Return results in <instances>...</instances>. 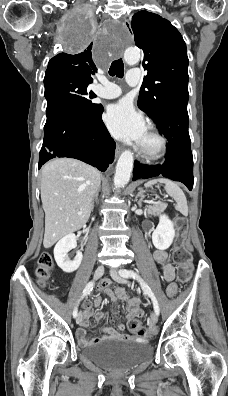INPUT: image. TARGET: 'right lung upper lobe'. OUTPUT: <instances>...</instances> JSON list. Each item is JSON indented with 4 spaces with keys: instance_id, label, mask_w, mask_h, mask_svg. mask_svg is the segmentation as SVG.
Here are the masks:
<instances>
[{
    "instance_id": "right-lung-upper-lobe-1",
    "label": "right lung upper lobe",
    "mask_w": 228,
    "mask_h": 396,
    "mask_svg": "<svg viewBox=\"0 0 228 396\" xmlns=\"http://www.w3.org/2000/svg\"><path fill=\"white\" fill-rule=\"evenodd\" d=\"M91 50L92 43L78 54L59 53L49 61L45 78L71 76L92 83L97 68Z\"/></svg>"
}]
</instances>
